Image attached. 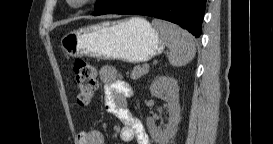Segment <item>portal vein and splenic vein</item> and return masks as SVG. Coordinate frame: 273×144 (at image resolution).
Instances as JSON below:
<instances>
[{
  "mask_svg": "<svg viewBox=\"0 0 273 144\" xmlns=\"http://www.w3.org/2000/svg\"><path fill=\"white\" fill-rule=\"evenodd\" d=\"M145 66H146L147 69H149V65L148 64H146Z\"/></svg>",
  "mask_w": 273,
  "mask_h": 144,
  "instance_id": "obj_1",
  "label": "portal vein and splenic vein"
}]
</instances>
